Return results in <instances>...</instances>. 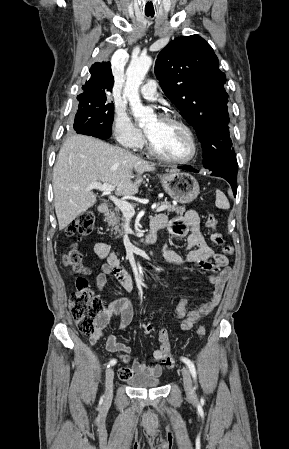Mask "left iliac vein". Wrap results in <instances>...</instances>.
<instances>
[{"instance_id": "1", "label": "left iliac vein", "mask_w": 289, "mask_h": 449, "mask_svg": "<svg viewBox=\"0 0 289 449\" xmlns=\"http://www.w3.org/2000/svg\"><path fill=\"white\" fill-rule=\"evenodd\" d=\"M183 385L185 392L188 397L193 398L195 396V391L192 383V379L187 368L182 369Z\"/></svg>"}]
</instances>
